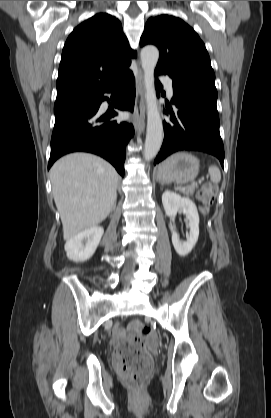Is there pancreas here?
Here are the masks:
<instances>
[{"label":"pancreas","instance_id":"cf45deb5","mask_svg":"<svg viewBox=\"0 0 271 418\" xmlns=\"http://www.w3.org/2000/svg\"><path fill=\"white\" fill-rule=\"evenodd\" d=\"M197 188V185H192L186 189L181 190L185 195L192 196Z\"/></svg>","mask_w":271,"mask_h":418}]
</instances>
